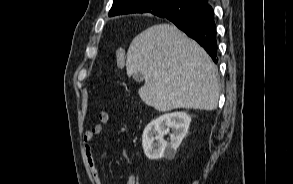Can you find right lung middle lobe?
<instances>
[{
	"label": "right lung middle lobe",
	"instance_id": "1",
	"mask_svg": "<svg viewBox=\"0 0 293 184\" xmlns=\"http://www.w3.org/2000/svg\"><path fill=\"white\" fill-rule=\"evenodd\" d=\"M154 3L157 8H164L167 5V1H156Z\"/></svg>",
	"mask_w": 293,
	"mask_h": 184
}]
</instances>
